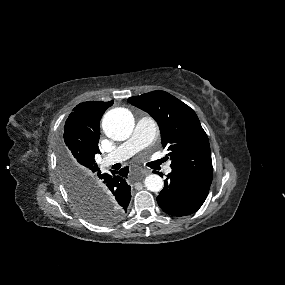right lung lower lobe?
<instances>
[{"instance_id":"1","label":"right lung lower lobe","mask_w":285,"mask_h":285,"mask_svg":"<svg viewBox=\"0 0 285 285\" xmlns=\"http://www.w3.org/2000/svg\"><path fill=\"white\" fill-rule=\"evenodd\" d=\"M128 167L110 174L101 173L98 169L88 182V187L94 189L99 196L116 206L123 214L131 200L130 186L126 182Z\"/></svg>"}]
</instances>
